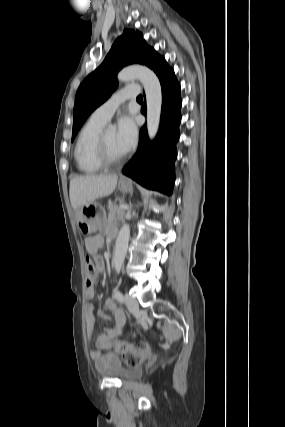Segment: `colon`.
Wrapping results in <instances>:
<instances>
[{
	"instance_id": "obj_1",
	"label": "colon",
	"mask_w": 285,
	"mask_h": 427,
	"mask_svg": "<svg viewBox=\"0 0 285 427\" xmlns=\"http://www.w3.org/2000/svg\"><path fill=\"white\" fill-rule=\"evenodd\" d=\"M96 274L94 261L86 258V284L93 285ZM116 351L121 354L127 366L132 367L138 365L144 358L150 354V346L143 342L137 346H133L127 342L119 341L115 344Z\"/></svg>"
}]
</instances>
